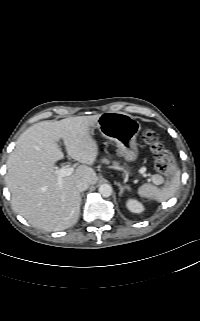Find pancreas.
Returning a JSON list of instances; mask_svg holds the SVG:
<instances>
[{"instance_id": "obj_1", "label": "pancreas", "mask_w": 200, "mask_h": 321, "mask_svg": "<svg viewBox=\"0 0 200 321\" xmlns=\"http://www.w3.org/2000/svg\"><path fill=\"white\" fill-rule=\"evenodd\" d=\"M102 162L106 163V164L110 163V161L108 159H105V158L102 159ZM112 167L115 168V169L123 170V168L119 165V162H117V161L113 162V166ZM154 178H155V176H154Z\"/></svg>"}]
</instances>
